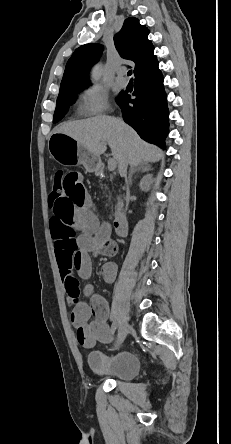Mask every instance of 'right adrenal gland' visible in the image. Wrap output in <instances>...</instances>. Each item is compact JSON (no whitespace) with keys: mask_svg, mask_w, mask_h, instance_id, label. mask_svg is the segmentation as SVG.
<instances>
[{"mask_svg":"<svg viewBox=\"0 0 231 444\" xmlns=\"http://www.w3.org/2000/svg\"><path fill=\"white\" fill-rule=\"evenodd\" d=\"M150 170V165L147 163L139 164L137 166H131L130 174L128 177V183L131 184V179L134 173L136 172H148Z\"/></svg>","mask_w":231,"mask_h":444,"instance_id":"right-adrenal-gland-1","label":"right adrenal gland"}]
</instances>
